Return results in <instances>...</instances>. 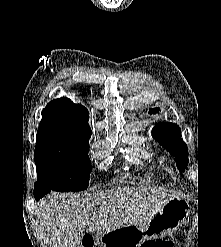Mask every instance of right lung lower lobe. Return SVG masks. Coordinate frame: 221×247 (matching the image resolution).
<instances>
[{
    "instance_id": "98d812e1",
    "label": "right lung lower lobe",
    "mask_w": 221,
    "mask_h": 247,
    "mask_svg": "<svg viewBox=\"0 0 221 247\" xmlns=\"http://www.w3.org/2000/svg\"><path fill=\"white\" fill-rule=\"evenodd\" d=\"M50 191H51L50 188L45 187L43 185H38L37 183H35L34 197L36 200H39L40 198H42L44 195H46Z\"/></svg>"
}]
</instances>
